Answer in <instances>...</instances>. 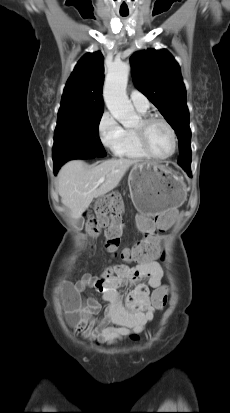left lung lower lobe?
Here are the masks:
<instances>
[{
	"label": "left lung lower lobe",
	"instance_id": "1",
	"mask_svg": "<svg viewBox=\"0 0 230 413\" xmlns=\"http://www.w3.org/2000/svg\"><path fill=\"white\" fill-rule=\"evenodd\" d=\"M183 169H184V171L187 172V174H188L190 177L192 176V174H191V168L185 167V168H183Z\"/></svg>",
	"mask_w": 230,
	"mask_h": 413
}]
</instances>
